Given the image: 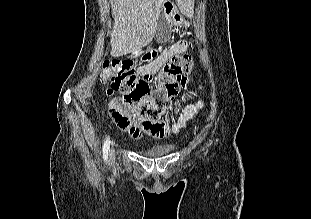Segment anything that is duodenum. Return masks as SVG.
<instances>
[{
  "mask_svg": "<svg viewBox=\"0 0 311 219\" xmlns=\"http://www.w3.org/2000/svg\"><path fill=\"white\" fill-rule=\"evenodd\" d=\"M173 6H172V4H170V3H166L165 5H164V11H165V13H167V14H170V13H172L173 12Z\"/></svg>",
  "mask_w": 311,
  "mask_h": 219,
  "instance_id": "1",
  "label": "duodenum"
}]
</instances>
